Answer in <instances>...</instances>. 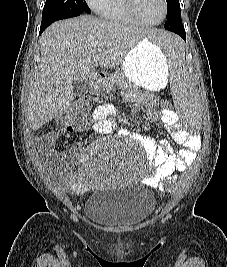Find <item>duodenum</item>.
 I'll list each match as a JSON object with an SVG mask.
<instances>
[{
    "instance_id": "1",
    "label": "duodenum",
    "mask_w": 227,
    "mask_h": 267,
    "mask_svg": "<svg viewBox=\"0 0 227 267\" xmlns=\"http://www.w3.org/2000/svg\"><path fill=\"white\" fill-rule=\"evenodd\" d=\"M102 81H103V77L100 76V75H95V76L93 77V82H94L95 84L102 83Z\"/></svg>"
}]
</instances>
